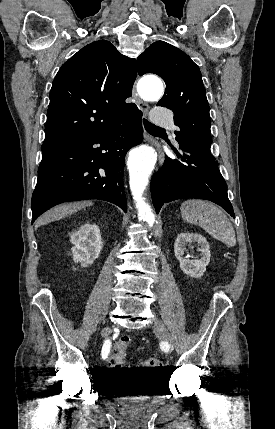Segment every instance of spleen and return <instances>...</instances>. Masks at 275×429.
<instances>
[{
  "label": "spleen",
  "mask_w": 275,
  "mask_h": 429,
  "mask_svg": "<svg viewBox=\"0 0 275 429\" xmlns=\"http://www.w3.org/2000/svg\"><path fill=\"white\" fill-rule=\"evenodd\" d=\"M181 216L190 224H197L213 238L227 246H235L236 237L233 226L227 216L214 204L191 199L181 205Z\"/></svg>",
  "instance_id": "1"
}]
</instances>
